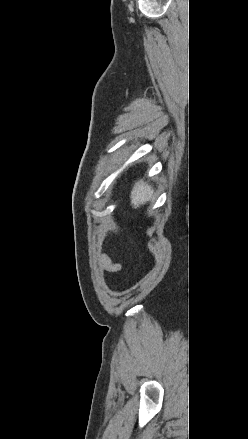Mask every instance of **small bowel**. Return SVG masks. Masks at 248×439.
<instances>
[{
	"instance_id": "c3829d8e",
	"label": "small bowel",
	"mask_w": 248,
	"mask_h": 439,
	"mask_svg": "<svg viewBox=\"0 0 248 439\" xmlns=\"http://www.w3.org/2000/svg\"><path fill=\"white\" fill-rule=\"evenodd\" d=\"M101 266L108 272H117L121 269V265L115 263L109 256L104 255L101 259Z\"/></svg>"
}]
</instances>
